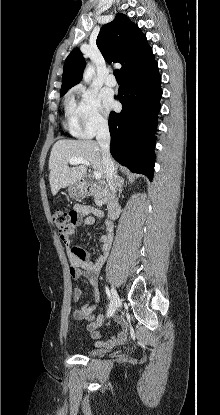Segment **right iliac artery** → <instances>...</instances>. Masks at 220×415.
Here are the masks:
<instances>
[{"label": "right iliac artery", "mask_w": 220, "mask_h": 415, "mask_svg": "<svg viewBox=\"0 0 220 415\" xmlns=\"http://www.w3.org/2000/svg\"><path fill=\"white\" fill-rule=\"evenodd\" d=\"M106 294H107V296H108V298H109V300L110 301H112V296H111V293H110V290L108 289V287H106ZM109 310V309H108Z\"/></svg>", "instance_id": "obj_1"}]
</instances>
